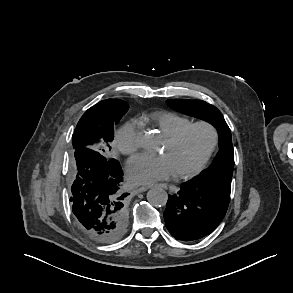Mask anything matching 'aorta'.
<instances>
[{
	"label": "aorta",
	"instance_id": "1",
	"mask_svg": "<svg viewBox=\"0 0 293 293\" xmlns=\"http://www.w3.org/2000/svg\"><path fill=\"white\" fill-rule=\"evenodd\" d=\"M139 143L146 151H151L157 146V140L152 134H143L139 139ZM167 199V192L162 188H153L147 193L148 202L155 207L165 206Z\"/></svg>",
	"mask_w": 293,
	"mask_h": 293
}]
</instances>
